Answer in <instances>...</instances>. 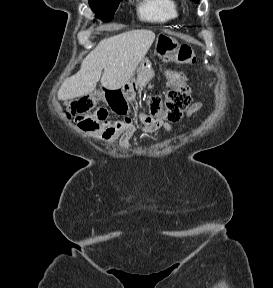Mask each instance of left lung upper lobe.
Listing matches in <instances>:
<instances>
[{
    "label": "left lung upper lobe",
    "instance_id": "1",
    "mask_svg": "<svg viewBox=\"0 0 273 288\" xmlns=\"http://www.w3.org/2000/svg\"><path fill=\"white\" fill-rule=\"evenodd\" d=\"M193 1H195L196 3H198L200 0H193Z\"/></svg>",
    "mask_w": 273,
    "mask_h": 288
}]
</instances>
